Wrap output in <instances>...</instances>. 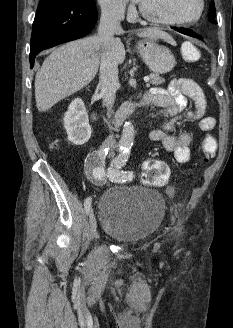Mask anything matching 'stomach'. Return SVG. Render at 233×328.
Returning <instances> with one entry per match:
<instances>
[{"mask_svg": "<svg viewBox=\"0 0 233 328\" xmlns=\"http://www.w3.org/2000/svg\"><path fill=\"white\" fill-rule=\"evenodd\" d=\"M137 50L147 66L157 74L170 72L175 66V57L165 46L159 45L156 37L137 43Z\"/></svg>", "mask_w": 233, "mask_h": 328, "instance_id": "stomach-1", "label": "stomach"}]
</instances>
